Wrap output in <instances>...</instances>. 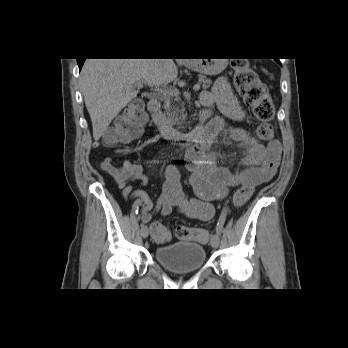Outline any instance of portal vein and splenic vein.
Returning <instances> with one entry per match:
<instances>
[{
  "label": "portal vein and splenic vein",
  "instance_id": "1",
  "mask_svg": "<svg viewBox=\"0 0 348 348\" xmlns=\"http://www.w3.org/2000/svg\"><path fill=\"white\" fill-rule=\"evenodd\" d=\"M135 86L142 87V83L138 82V83L135 84ZM193 90L194 91H199L200 90V84H195L194 87H193ZM158 91L160 93L167 94L169 96H174V97H178L179 94H180L178 89H176V88H169V87H166V86H163L162 88H158Z\"/></svg>",
  "mask_w": 348,
  "mask_h": 348
}]
</instances>
